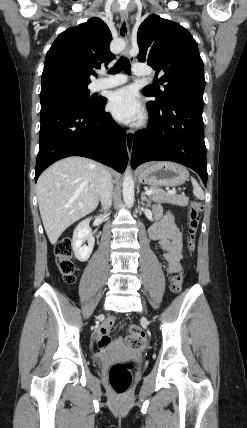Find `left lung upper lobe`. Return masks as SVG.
Wrapping results in <instances>:
<instances>
[{
  "label": "left lung upper lobe",
  "mask_w": 247,
  "mask_h": 428,
  "mask_svg": "<svg viewBox=\"0 0 247 428\" xmlns=\"http://www.w3.org/2000/svg\"><path fill=\"white\" fill-rule=\"evenodd\" d=\"M137 42L138 60L161 75L163 89L158 83L143 89L144 95L155 98L149 101L152 106L161 108L179 98L204 104L203 61L197 42L184 27L152 14L140 25Z\"/></svg>",
  "instance_id": "5c2ea615"
}]
</instances>
